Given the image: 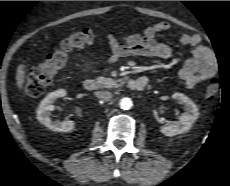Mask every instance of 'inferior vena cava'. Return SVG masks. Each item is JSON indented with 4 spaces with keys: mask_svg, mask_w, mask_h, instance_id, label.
I'll return each mask as SVG.
<instances>
[{
    "mask_svg": "<svg viewBox=\"0 0 230 186\" xmlns=\"http://www.w3.org/2000/svg\"><path fill=\"white\" fill-rule=\"evenodd\" d=\"M96 96L103 101H109L112 98V94L109 91L96 92Z\"/></svg>",
    "mask_w": 230,
    "mask_h": 186,
    "instance_id": "602c4592",
    "label": "inferior vena cava"
}]
</instances>
